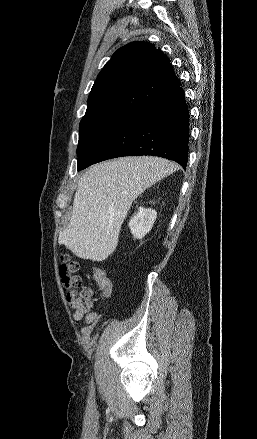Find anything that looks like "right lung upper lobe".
Wrapping results in <instances>:
<instances>
[{
    "label": "right lung upper lobe",
    "instance_id": "1",
    "mask_svg": "<svg viewBox=\"0 0 257 439\" xmlns=\"http://www.w3.org/2000/svg\"><path fill=\"white\" fill-rule=\"evenodd\" d=\"M179 85L166 55L151 43L131 42L118 49L98 74L85 116L129 117Z\"/></svg>",
    "mask_w": 257,
    "mask_h": 439
}]
</instances>
